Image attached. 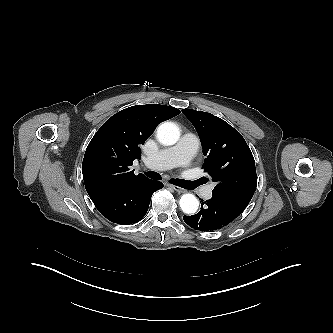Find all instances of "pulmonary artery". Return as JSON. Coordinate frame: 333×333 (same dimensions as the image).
Wrapping results in <instances>:
<instances>
[{"mask_svg":"<svg viewBox=\"0 0 333 333\" xmlns=\"http://www.w3.org/2000/svg\"><path fill=\"white\" fill-rule=\"evenodd\" d=\"M199 147V139L192 133L181 137L179 142L170 148L160 150L158 153L149 156L145 160L146 166L153 169H170L177 166L187 165ZM204 197H212V188H207Z\"/></svg>","mask_w":333,"mask_h":333,"instance_id":"obj_1","label":"pulmonary artery"}]
</instances>
